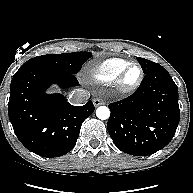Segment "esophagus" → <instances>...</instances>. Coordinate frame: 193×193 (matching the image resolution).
Returning a JSON list of instances; mask_svg holds the SVG:
<instances>
[{
	"instance_id": "esophagus-1",
	"label": "esophagus",
	"mask_w": 193,
	"mask_h": 193,
	"mask_svg": "<svg viewBox=\"0 0 193 193\" xmlns=\"http://www.w3.org/2000/svg\"><path fill=\"white\" fill-rule=\"evenodd\" d=\"M93 104L95 107H98V106L104 104V102L101 99L95 98V99H93Z\"/></svg>"
}]
</instances>
